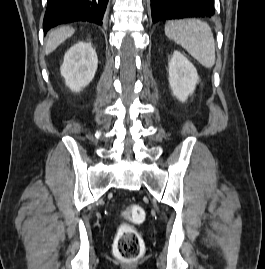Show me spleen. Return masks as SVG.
<instances>
[{"label":"spleen","mask_w":265,"mask_h":269,"mask_svg":"<svg viewBox=\"0 0 265 269\" xmlns=\"http://www.w3.org/2000/svg\"><path fill=\"white\" fill-rule=\"evenodd\" d=\"M165 34L204 67L214 66L215 42L207 23L196 19L168 21L165 25Z\"/></svg>","instance_id":"3e777b00"}]
</instances>
